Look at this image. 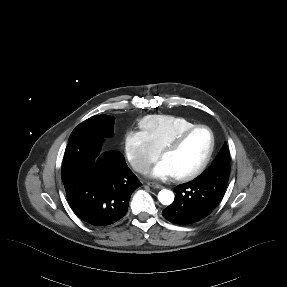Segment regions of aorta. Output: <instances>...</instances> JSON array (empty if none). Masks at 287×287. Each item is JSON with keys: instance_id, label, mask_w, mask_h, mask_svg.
<instances>
[{"instance_id": "aorta-1", "label": "aorta", "mask_w": 287, "mask_h": 287, "mask_svg": "<svg viewBox=\"0 0 287 287\" xmlns=\"http://www.w3.org/2000/svg\"><path fill=\"white\" fill-rule=\"evenodd\" d=\"M158 200L163 205H170L174 201V193L167 189H162L158 193Z\"/></svg>"}]
</instances>
